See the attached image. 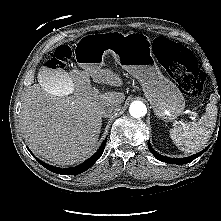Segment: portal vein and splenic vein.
<instances>
[{"mask_svg":"<svg viewBox=\"0 0 221 221\" xmlns=\"http://www.w3.org/2000/svg\"><path fill=\"white\" fill-rule=\"evenodd\" d=\"M192 115L196 116L197 114L195 112H190Z\"/></svg>","mask_w":221,"mask_h":221,"instance_id":"obj_1","label":"portal vein and splenic vein"}]
</instances>
